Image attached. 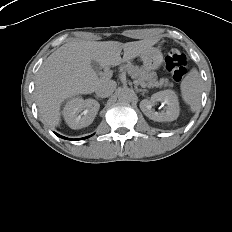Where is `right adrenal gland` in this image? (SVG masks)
I'll return each mask as SVG.
<instances>
[{
    "label": "right adrenal gland",
    "mask_w": 232,
    "mask_h": 232,
    "mask_svg": "<svg viewBox=\"0 0 232 232\" xmlns=\"http://www.w3.org/2000/svg\"><path fill=\"white\" fill-rule=\"evenodd\" d=\"M95 98H96V99H98V100H102V99H101V98H99L98 96H95Z\"/></svg>",
    "instance_id": "right-adrenal-gland-1"
}]
</instances>
